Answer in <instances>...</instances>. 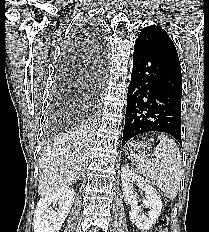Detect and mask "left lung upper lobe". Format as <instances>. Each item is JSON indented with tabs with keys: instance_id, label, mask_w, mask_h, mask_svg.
Wrapping results in <instances>:
<instances>
[{
	"instance_id": "obj_1",
	"label": "left lung upper lobe",
	"mask_w": 209,
	"mask_h": 232,
	"mask_svg": "<svg viewBox=\"0 0 209 232\" xmlns=\"http://www.w3.org/2000/svg\"><path fill=\"white\" fill-rule=\"evenodd\" d=\"M136 41L144 43L180 63L174 43L160 26L151 25L143 28Z\"/></svg>"
}]
</instances>
